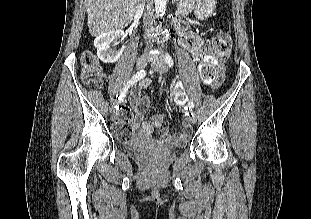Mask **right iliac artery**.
I'll return each instance as SVG.
<instances>
[{
    "label": "right iliac artery",
    "instance_id": "1",
    "mask_svg": "<svg viewBox=\"0 0 311 219\" xmlns=\"http://www.w3.org/2000/svg\"><path fill=\"white\" fill-rule=\"evenodd\" d=\"M146 75V72L145 70H140L139 72H137L128 82L127 84L124 86L123 90L121 91L120 93V96H119V101L120 102H123L125 96H126V93H127V90L130 86H132L134 83H136L137 81H139L140 79L144 78Z\"/></svg>",
    "mask_w": 311,
    "mask_h": 219
}]
</instances>
